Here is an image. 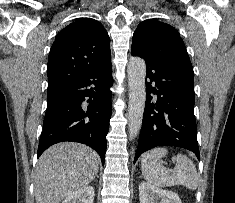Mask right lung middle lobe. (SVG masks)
I'll return each instance as SVG.
<instances>
[{"label":"right lung middle lobe","mask_w":235,"mask_h":203,"mask_svg":"<svg viewBox=\"0 0 235 203\" xmlns=\"http://www.w3.org/2000/svg\"><path fill=\"white\" fill-rule=\"evenodd\" d=\"M58 87H48L47 92H51L56 90Z\"/></svg>","instance_id":"1"}]
</instances>
